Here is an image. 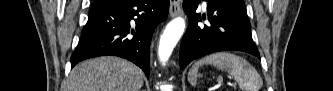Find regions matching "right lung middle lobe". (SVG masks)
Listing matches in <instances>:
<instances>
[{
    "instance_id": "obj_1",
    "label": "right lung middle lobe",
    "mask_w": 333,
    "mask_h": 91,
    "mask_svg": "<svg viewBox=\"0 0 333 91\" xmlns=\"http://www.w3.org/2000/svg\"><path fill=\"white\" fill-rule=\"evenodd\" d=\"M124 0H94L93 7L112 6L123 2Z\"/></svg>"
}]
</instances>
